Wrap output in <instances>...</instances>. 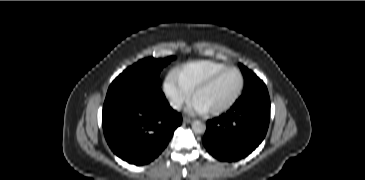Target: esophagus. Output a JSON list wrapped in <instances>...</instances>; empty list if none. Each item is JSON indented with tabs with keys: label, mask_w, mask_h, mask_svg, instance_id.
I'll use <instances>...</instances> for the list:
<instances>
[{
	"label": "esophagus",
	"mask_w": 365,
	"mask_h": 180,
	"mask_svg": "<svg viewBox=\"0 0 365 180\" xmlns=\"http://www.w3.org/2000/svg\"><path fill=\"white\" fill-rule=\"evenodd\" d=\"M192 121H193V119H192V118H190V117H187V116L183 117V122H184V123L189 124V123H191Z\"/></svg>",
	"instance_id": "1"
}]
</instances>
